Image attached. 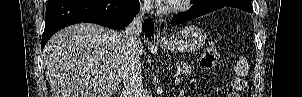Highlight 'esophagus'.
I'll return each mask as SVG.
<instances>
[{
  "label": "esophagus",
  "instance_id": "obj_1",
  "mask_svg": "<svg viewBox=\"0 0 302 97\" xmlns=\"http://www.w3.org/2000/svg\"><path fill=\"white\" fill-rule=\"evenodd\" d=\"M156 23L159 24V21L156 20ZM164 40V37L160 34V30L159 28L157 27V30H156V34L154 35V41L155 42H161Z\"/></svg>",
  "mask_w": 302,
  "mask_h": 97
}]
</instances>
